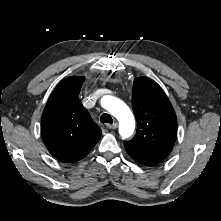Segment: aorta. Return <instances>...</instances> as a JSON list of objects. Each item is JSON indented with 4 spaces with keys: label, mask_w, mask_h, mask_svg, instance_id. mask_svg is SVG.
<instances>
[{
    "label": "aorta",
    "mask_w": 221,
    "mask_h": 221,
    "mask_svg": "<svg viewBox=\"0 0 221 221\" xmlns=\"http://www.w3.org/2000/svg\"><path fill=\"white\" fill-rule=\"evenodd\" d=\"M101 105L119 121L120 135L123 138L130 137L135 129V119L129 107L113 96H104Z\"/></svg>",
    "instance_id": "762f6f07"
}]
</instances>
